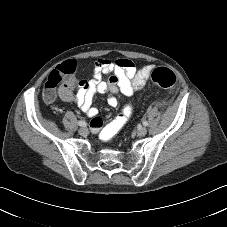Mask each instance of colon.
Returning a JSON list of instances; mask_svg holds the SVG:
<instances>
[{
    "instance_id": "1",
    "label": "colon",
    "mask_w": 227,
    "mask_h": 227,
    "mask_svg": "<svg viewBox=\"0 0 227 227\" xmlns=\"http://www.w3.org/2000/svg\"><path fill=\"white\" fill-rule=\"evenodd\" d=\"M77 66L73 61H68L62 68L54 69L48 76L44 89V97L46 100L51 101L55 98V89L60 84H69L73 81L76 74ZM151 81L153 85L160 88H171L176 83L175 73L166 67H159L151 73ZM133 114V107L128 105L125 107L113 123L102 134L101 137L105 140L112 138L116 135L124 125L130 120ZM99 119H94L91 126H97Z\"/></svg>"
}]
</instances>
